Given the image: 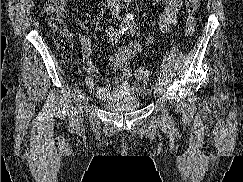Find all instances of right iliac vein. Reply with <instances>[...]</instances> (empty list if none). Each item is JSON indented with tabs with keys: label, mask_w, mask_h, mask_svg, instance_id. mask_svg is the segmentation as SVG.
I'll list each match as a JSON object with an SVG mask.
<instances>
[{
	"label": "right iliac vein",
	"mask_w": 243,
	"mask_h": 182,
	"mask_svg": "<svg viewBox=\"0 0 243 182\" xmlns=\"http://www.w3.org/2000/svg\"><path fill=\"white\" fill-rule=\"evenodd\" d=\"M85 103V94L81 93L78 100H77V105H76V114H75V120H76V125L79 127L83 123V106Z\"/></svg>",
	"instance_id": "obj_1"
}]
</instances>
